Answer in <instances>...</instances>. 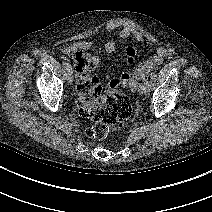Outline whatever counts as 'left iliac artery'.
I'll use <instances>...</instances> for the list:
<instances>
[{
  "mask_svg": "<svg viewBox=\"0 0 212 212\" xmlns=\"http://www.w3.org/2000/svg\"><path fill=\"white\" fill-rule=\"evenodd\" d=\"M142 86L144 88L145 94L149 95L151 86H150V81L148 78L144 79Z\"/></svg>",
  "mask_w": 212,
  "mask_h": 212,
  "instance_id": "1",
  "label": "left iliac artery"
}]
</instances>
